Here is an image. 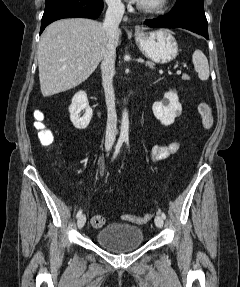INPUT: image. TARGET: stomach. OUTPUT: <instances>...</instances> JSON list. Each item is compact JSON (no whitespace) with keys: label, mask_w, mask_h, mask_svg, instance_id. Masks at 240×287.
<instances>
[{"label":"stomach","mask_w":240,"mask_h":287,"mask_svg":"<svg viewBox=\"0 0 240 287\" xmlns=\"http://www.w3.org/2000/svg\"><path fill=\"white\" fill-rule=\"evenodd\" d=\"M135 41L143 55L156 63H168L178 54L177 41L168 29L136 32Z\"/></svg>","instance_id":"obj_1"}]
</instances>
